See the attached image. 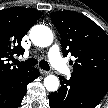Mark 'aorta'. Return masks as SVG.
Masks as SVG:
<instances>
[{
    "instance_id": "obj_1",
    "label": "aorta",
    "mask_w": 108,
    "mask_h": 108,
    "mask_svg": "<svg viewBox=\"0 0 108 108\" xmlns=\"http://www.w3.org/2000/svg\"><path fill=\"white\" fill-rule=\"evenodd\" d=\"M32 43L39 47H47L53 42V33L51 29L45 25H35L30 29L29 33ZM44 86L47 91L55 92L60 86V81L55 75H48L44 79Z\"/></svg>"
}]
</instances>
